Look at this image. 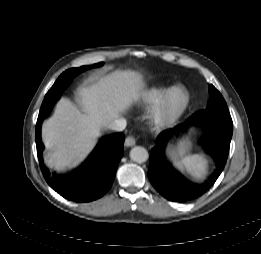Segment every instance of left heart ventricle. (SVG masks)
Segmentation results:
<instances>
[{
    "label": "left heart ventricle",
    "instance_id": "left-heart-ventricle-1",
    "mask_svg": "<svg viewBox=\"0 0 261 254\" xmlns=\"http://www.w3.org/2000/svg\"><path fill=\"white\" fill-rule=\"evenodd\" d=\"M182 94L180 92H174L172 95H171V98H170V107L172 109H176L179 107V105L181 104L182 102Z\"/></svg>",
    "mask_w": 261,
    "mask_h": 254
}]
</instances>
